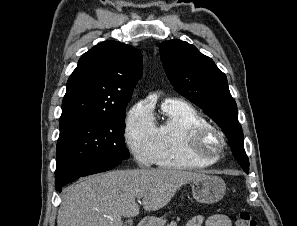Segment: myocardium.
Wrapping results in <instances>:
<instances>
[{"mask_svg": "<svg viewBox=\"0 0 297 226\" xmlns=\"http://www.w3.org/2000/svg\"><path fill=\"white\" fill-rule=\"evenodd\" d=\"M214 138L217 141V148L210 150L207 148V142ZM226 139L222 131L212 125L205 124L193 129L188 137V148L191 155L199 160L214 163L224 151Z\"/></svg>", "mask_w": 297, "mask_h": 226, "instance_id": "myocardium-1", "label": "myocardium"}]
</instances>
